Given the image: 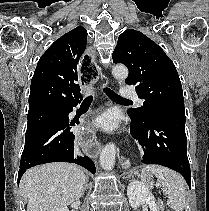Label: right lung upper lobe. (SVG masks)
Segmentation results:
<instances>
[{
	"mask_svg": "<svg viewBox=\"0 0 209 211\" xmlns=\"http://www.w3.org/2000/svg\"><path fill=\"white\" fill-rule=\"evenodd\" d=\"M87 31L78 26L56 40L38 61L31 80L29 111L66 108L80 102L78 80L90 81L95 66L84 56Z\"/></svg>",
	"mask_w": 209,
	"mask_h": 211,
	"instance_id": "cb5924a9",
	"label": "right lung upper lobe"
}]
</instances>
